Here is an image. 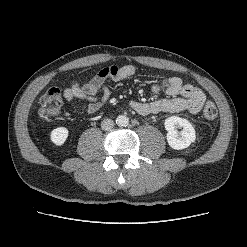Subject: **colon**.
I'll list each match as a JSON object with an SVG mask.
<instances>
[{
    "label": "colon",
    "mask_w": 247,
    "mask_h": 247,
    "mask_svg": "<svg viewBox=\"0 0 247 247\" xmlns=\"http://www.w3.org/2000/svg\"><path fill=\"white\" fill-rule=\"evenodd\" d=\"M62 104L61 91L58 88L49 89L39 101L38 115L41 119L47 120L56 116L60 112ZM218 111L216 105L208 101L202 110V115L207 120H213L217 117Z\"/></svg>",
    "instance_id": "obj_1"
}]
</instances>
